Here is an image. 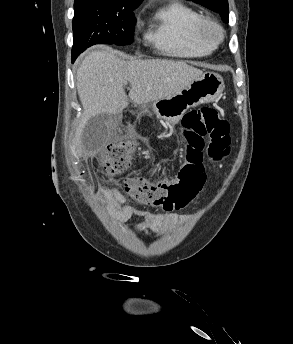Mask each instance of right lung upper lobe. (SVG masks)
<instances>
[{
	"label": "right lung upper lobe",
	"mask_w": 293,
	"mask_h": 344,
	"mask_svg": "<svg viewBox=\"0 0 293 344\" xmlns=\"http://www.w3.org/2000/svg\"><path fill=\"white\" fill-rule=\"evenodd\" d=\"M83 0H75L74 4L81 3ZM101 1L109 4H119V5H132L137 6L142 2V0H93Z\"/></svg>",
	"instance_id": "right-lung-upper-lobe-1"
}]
</instances>
